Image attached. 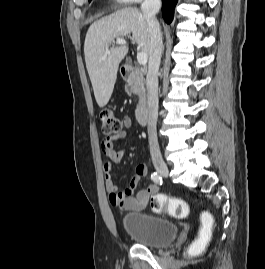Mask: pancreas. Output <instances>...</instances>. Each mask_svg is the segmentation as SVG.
<instances>
[{"label":"pancreas","mask_w":265,"mask_h":269,"mask_svg":"<svg viewBox=\"0 0 265 269\" xmlns=\"http://www.w3.org/2000/svg\"><path fill=\"white\" fill-rule=\"evenodd\" d=\"M128 86H130L131 90H136V92H137L138 94H140L141 91H142V88H141L140 86H137V85L135 84V81H134V80H131V81L128 83V85L126 86V90H128Z\"/></svg>","instance_id":"1"}]
</instances>
